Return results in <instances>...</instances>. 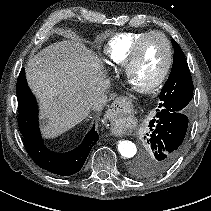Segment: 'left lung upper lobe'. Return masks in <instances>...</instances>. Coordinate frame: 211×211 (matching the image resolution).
Returning <instances> with one entry per match:
<instances>
[{"mask_svg": "<svg viewBox=\"0 0 211 211\" xmlns=\"http://www.w3.org/2000/svg\"><path fill=\"white\" fill-rule=\"evenodd\" d=\"M174 58L171 73L160 92V103L157 114L163 112H182L187 114L193 98V82L184 53L177 42L172 39ZM147 174H150L152 159L150 153L146 155ZM152 176V175H151Z\"/></svg>", "mask_w": 211, "mask_h": 211, "instance_id": "5c2ea615", "label": "left lung upper lobe"}]
</instances>
